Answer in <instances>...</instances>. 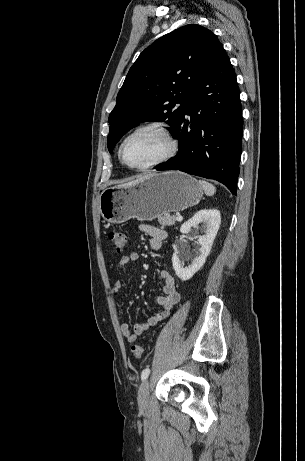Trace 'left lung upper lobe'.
<instances>
[{"label":"left lung upper lobe","mask_w":305,"mask_h":461,"mask_svg":"<svg viewBox=\"0 0 305 461\" xmlns=\"http://www.w3.org/2000/svg\"><path fill=\"white\" fill-rule=\"evenodd\" d=\"M223 47L208 29L185 25L156 40L130 68L109 116V152L131 128L166 122L174 133L194 87L217 61Z\"/></svg>","instance_id":"left-lung-upper-lobe-1"}]
</instances>
